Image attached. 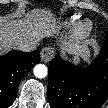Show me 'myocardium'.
Here are the masks:
<instances>
[{"label": "myocardium", "instance_id": "1", "mask_svg": "<svg viewBox=\"0 0 108 108\" xmlns=\"http://www.w3.org/2000/svg\"><path fill=\"white\" fill-rule=\"evenodd\" d=\"M91 31H92V24L89 21H84L80 23L79 26L77 27L76 34L80 38H85L90 35Z\"/></svg>", "mask_w": 108, "mask_h": 108}]
</instances>
